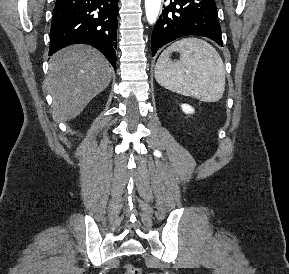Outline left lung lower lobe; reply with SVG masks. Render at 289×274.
I'll return each instance as SVG.
<instances>
[{
  "label": "left lung lower lobe",
  "mask_w": 289,
  "mask_h": 274,
  "mask_svg": "<svg viewBox=\"0 0 289 274\" xmlns=\"http://www.w3.org/2000/svg\"><path fill=\"white\" fill-rule=\"evenodd\" d=\"M187 35L207 37L223 46L215 0H170L152 32V55Z\"/></svg>",
  "instance_id": "0a47b994"
}]
</instances>
